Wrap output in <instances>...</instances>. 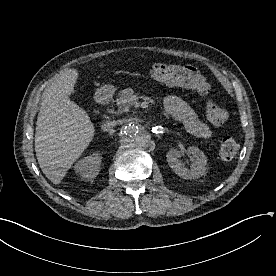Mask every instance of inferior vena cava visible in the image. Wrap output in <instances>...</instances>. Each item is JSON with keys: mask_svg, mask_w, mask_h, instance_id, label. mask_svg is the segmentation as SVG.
I'll return each instance as SVG.
<instances>
[{"mask_svg": "<svg viewBox=\"0 0 276 276\" xmlns=\"http://www.w3.org/2000/svg\"><path fill=\"white\" fill-rule=\"evenodd\" d=\"M117 124H118V121L109 120V121H106V122L102 125V129H103L104 131H111Z\"/></svg>", "mask_w": 276, "mask_h": 276, "instance_id": "inferior-vena-cava-1", "label": "inferior vena cava"}]
</instances>
